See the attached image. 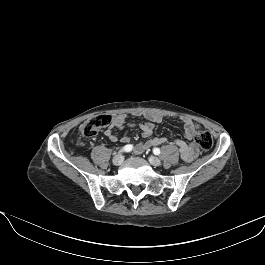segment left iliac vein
<instances>
[{
    "instance_id": "obj_1",
    "label": "left iliac vein",
    "mask_w": 265,
    "mask_h": 265,
    "mask_svg": "<svg viewBox=\"0 0 265 265\" xmlns=\"http://www.w3.org/2000/svg\"><path fill=\"white\" fill-rule=\"evenodd\" d=\"M148 160H149L150 164L153 166H160L161 165L160 159L155 157V156H150L148 158Z\"/></svg>"
}]
</instances>
